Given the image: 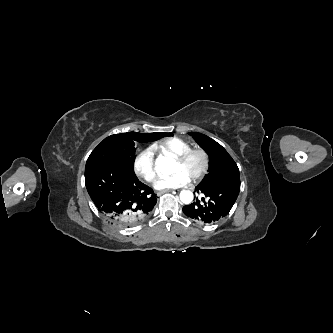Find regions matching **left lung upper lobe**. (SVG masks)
<instances>
[{
	"mask_svg": "<svg viewBox=\"0 0 333 333\" xmlns=\"http://www.w3.org/2000/svg\"><path fill=\"white\" fill-rule=\"evenodd\" d=\"M210 158L209 173L198 186L211 184L239 177V169L228 152L212 138L197 132L189 133Z\"/></svg>",
	"mask_w": 333,
	"mask_h": 333,
	"instance_id": "left-lung-upper-lobe-1",
	"label": "left lung upper lobe"
}]
</instances>
